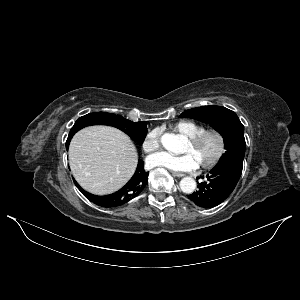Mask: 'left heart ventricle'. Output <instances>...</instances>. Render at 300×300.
I'll return each instance as SVG.
<instances>
[{"instance_id":"1","label":"left heart ventricle","mask_w":300,"mask_h":300,"mask_svg":"<svg viewBox=\"0 0 300 300\" xmlns=\"http://www.w3.org/2000/svg\"><path fill=\"white\" fill-rule=\"evenodd\" d=\"M218 150V139L215 135H209L204 138L199 144L191 145L186 143L183 153H191L196 159L197 163L207 162L214 157Z\"/></svg>"}]
</instances>
